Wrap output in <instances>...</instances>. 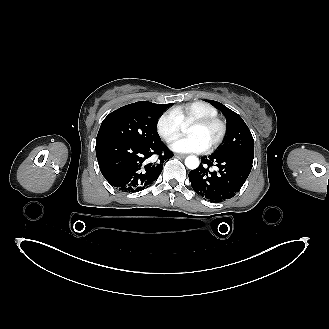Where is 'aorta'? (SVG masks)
<instances>
[{"instance_id": "aorta-1", "label": "aorta", "mask_w": 329, "mask_h": 329, "mask_svg": "<svg viewBox=\"0 0 329 329\" xmlns=\"http://www.w3.org/2000/svg\"><path fill=\"white\" fill-rule=\"evenodd\" d=\"M199 163H200L199 159L194 155H190V156L186 157V159H185L186 167L191 170L198 168Z\"/></svg>"}]
</instances>
